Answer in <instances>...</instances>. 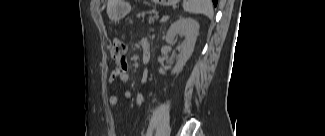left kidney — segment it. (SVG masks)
Here are the masks:
<instances>
[{
    "mask_svg": "<svg viewBox=\"0 0 325 136\" xmlns=\"http://www.w3.org/2000/svg\"><path fill=\"white\" fill-rule=\"evenodd\" d=\"M199 24L192 18L180 17L177 21L171 24L167 31L166 42L170 45L176 43L177 35L185 37V40L177 48L180 51L175 67L172 69V74H178L182 71L184 65L191 57L194 46L199 34ZM159 73L165 75L166 69L160 68Z\"/></svg>",
    "mask_w": 325,
    "mask_h": 136,
    "instance_id": "5707ae66",
    "label": "left kidney"
}]
</instances>
